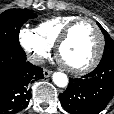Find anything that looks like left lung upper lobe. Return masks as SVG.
<instances>
[{
    "label": "left lung upper lobe",
    "mask_w": 114,
    "mask_h": 114,
    "mask_svg": "<svg viewBox=\"0 0 114 114\" xmlns=\"http://www.w3.org/2000/svg\"><path fill=\"white\" fill-rule=\"evenodd\" d=\"M102 33L105 36V48L104 54L100 63L114 61V40L109 36V34L98 24Z\"/></svg>",
    "instance_id": "obj_1"
}]
</instances>
